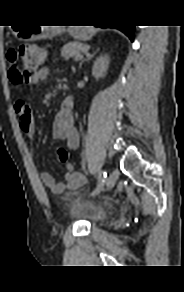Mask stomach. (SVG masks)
I'll return each mask as SVG.
<instances>
[{"instance_id": "0dacf381", "label": "stomach", "mask_w": 184, "mask_h": 292, "mask_svg": "<svg viewBox=\"0 0 184 292\" xmlns=\"http://www.w3.org/2000/svg\"><path fill=\"white\" fill-rule=\"evenodd\" d=\"M49 31L43 27L34 26L29 27L21 31H17V34L25 40H37L47 37ZM71 34L74 38L78 40H89L93 33L88 28H75L71 31Z\"/></svg>"}]
</instances>
